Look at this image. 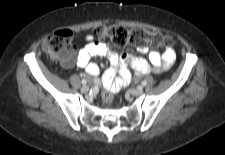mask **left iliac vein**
Wrapping results in <instances>:
<instances>
[{
  "mask_svg": "<svg viewBox=\"0 0 225 155\" xmlns=\"http://www.w3.org/2000/svg\"><path fill=\"white\" fill-rule=\"evenodd\" d=\"M131 94L134 96H140L143 94V90L138 88V89H131L130 90Z\"/></svg>",
  "mask_w": 225,
  "mask_h": 155,
  "instance_id": "left-iliac-vein-1",
  "label": "left iliac vein"
}]
</instances>
